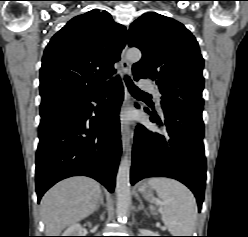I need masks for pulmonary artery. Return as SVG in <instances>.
<instances>
[{
    "label": "pulmonary artery",
    "mask_w": 248,
    "mask_h": 237,
    "mask_svg": "<svg viewBox=\"0 0 248 237\" xmlns=\"http://www.w3.org/2000/svg\"><path fill=\"white\" fill-rule=\"evenodd\" d=\"M139 86H140L142 89H148V90L154 91L152 84H151L150 81L147 80V79L141 80L140 83H139ZM158 105H159V103H158Z\"/></svg>",
    "instance_id": "pulmonary-artery-1"
}]
</instances>
